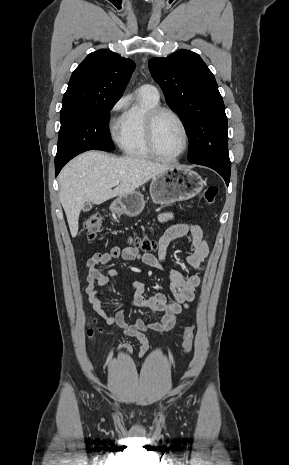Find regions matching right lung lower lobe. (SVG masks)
Wrapping results in <instances>:
<instances>
[{"mask_svg": "<svg viewBox=\"0 0 289 465\" xmlns=\"http://www.w3.org/2000/svg\"><path fill=\"white\" fill-rule=\"evenodd\" d=\"M69 160L55 162V175L57 176L62 167L68 162Z\"/></svg>", "mask_w": 289, "mask_h": 465, "instance_id": "obj_1", "label": "right lung lower lobe"}]
</instances>
